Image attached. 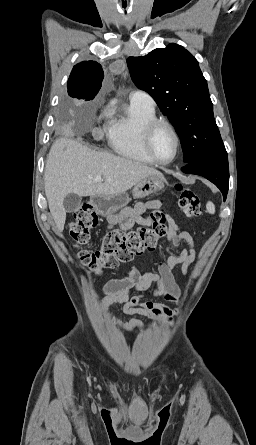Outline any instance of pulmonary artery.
<instances>
[{
  "label": "pulmonary artery",
  "mask_w": 256,
  "mask_h": 445,
  "mask_svg": "<svg viewBox=\"0 0 256 445\" xmlns=\"http://www.w3.org/2000/svg\"><path fill=\"white\" fill-rule=\"evenodd\" d=\"M130 103L154 108V99L145 91L136 90L130 94Z\"/></svg>",
  "instance_id": "obj_1"
}]
</instances>
